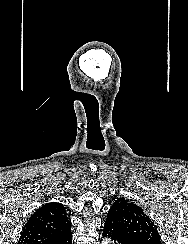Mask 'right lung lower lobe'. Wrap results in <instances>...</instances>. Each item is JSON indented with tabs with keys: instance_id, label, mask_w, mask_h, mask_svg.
<instances>
[{
	"instance_id": "right-lung-lower-lobe-1",
	"label": "right lung lower lobe",
	"mask_w": 188,
	"mask_h": 244,
	"mask_svg": "<svg viewBox=\"0 0 188 244\" xmlns=\"http://www.w3.org/2000/svg\"><path fill=\"white\" fill-rule=\"evenodd\" d=\"M41 244H72L71 230L65 232L64 234L52 241L43 242Z\"/></svg>"
}]
</instances>
